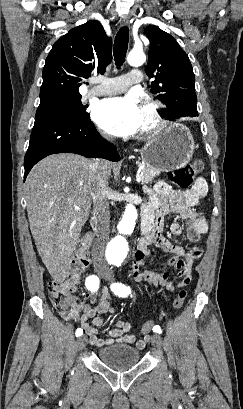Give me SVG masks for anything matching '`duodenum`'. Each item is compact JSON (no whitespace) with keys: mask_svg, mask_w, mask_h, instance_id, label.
Instances as JSON below:
<instances>
[{"mask_svg":"<svg viewBox=\"0 0 243 409\" xmlns=\"http://www.w3.org/2000/svg\"><path fill=\"white\" fill-rule=\"evenodd\" d=\"M98 213L95 211L92 216V225L97 228L98 227ZM155 217L151 211H144L143 212V218H142V232L144 237L148 236L155 228Z\"/></svg>","mask_w":243,"mask_h":409,"instance_id":"duodenum-1","label":"duodenum"}]
</instances>
